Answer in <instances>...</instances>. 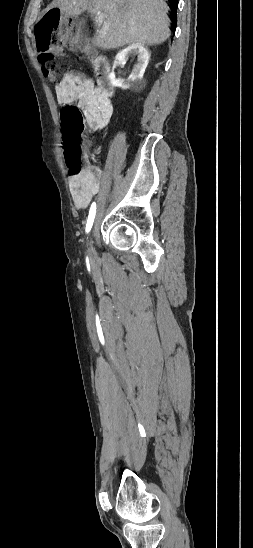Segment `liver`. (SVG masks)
<instances>
[{"mask_svg":"<svg viewBox=\"0 0 253 548\" xmlns=\"http://www.w3.org/2000/svg\"><path fill=\"white\" fill-rule=\"evenodd\" d=\"M58 8L64 17L84 11L101 27L92 44L109 50L134 43L156 45L170 36L168 6L163 0H53L48 9ZM102 22H97V16Z\"/></svg>","mask_w":253,"mask_h":548,"instance_id":"obj_1","label":"liver"}]
</instances>
